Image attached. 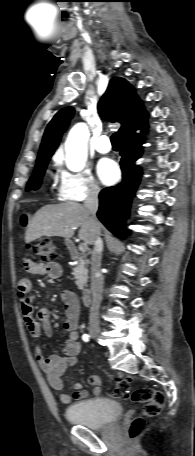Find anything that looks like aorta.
Returning <instances> with one entry per match:
<instances>
[{
  "label": "aorta",
  "instance_id": "aorta-1",
  "mask_svg": "<svg viewBox=\"0 0 195 456\" xmlns=\"http://www.w3.org/2000/svg\"><path fill=\"white\" fill-rule=\"evenodd\" d=\"M89 137V129L85 123H78L70 130L65 143V160L70 171L80 172L84 169Z\"/></svg>",
  "mask_w": 195,
  "mask_h": 456
}]
</instances>
